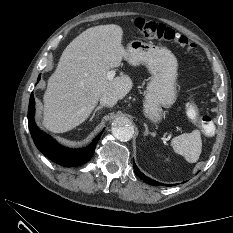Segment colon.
Instances as JSON below:
<instances>
[{
	"instance_id": "colon-1",
	"label": "colon",
	"mask_w": 233,
	"mask_h": 233,
	"mask_svg": "<svg viewBox=\"0 0 233 233\" xmlns=\"http://www.w3.org/2000/svg\"><path fill=\"white\" fill-rule=\"evenodd\" d=\"M135 26L139 33L146 38L174 42L189 52L193 51L196 47L186 36L175 32L172 28L164 24L144 18H137L135 20ZM199 126L205 135L211 136L214 134L215 125L210 116H201L199 119Z\"/></svg>"
}]
</instances>
